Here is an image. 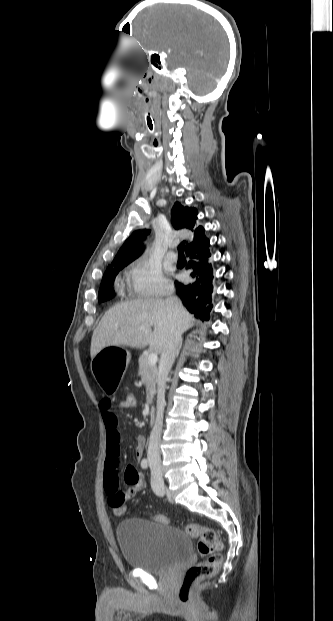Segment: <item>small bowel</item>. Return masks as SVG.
Instances as JSON below:
<instances>
[{
    "label": "small bowel",
    "mask_w": 333,
    "mask_h": 621,
    "mask_svg": "<svg viewBox=\"0 0 333 621\" xmlns=\"http://www.w3.org/2000/svg\"><path fill=\"white\" fill-rule=\"evenodd\" d=\"M99 408L107 433V456L105 460L104 485L107 492L108 504L112 509L117 505H124L145 487L142 474L134 465H127L124 471V481L128 487L120 489L118 472L121 447V434L118 429V418L113 411L111 401L104 398L99 402ZM135 458L140 461L145 447V438L138 436L135 439Z\"/></svg>",
    "instance_id": "small-bowel-1"
}]
</instances>
